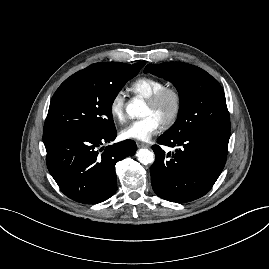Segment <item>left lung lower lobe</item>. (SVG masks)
<instances>
[{
    "mask_svg": "<svg viewBox=\"0 0 269 269\" xmlns=\"http://www.w3.org/2000/svg\"><path fill=\"white\" fill-rule=\"evenodd\" d=\"M229 137L230 131L205 129L175 137L160 136L158 144L176 150L166 154L159 145L152 146L156 156L150 169L154 192L175 203L205 195L224 168Z\"/></svg>",
    "mask_w": 269,
    "mask_h": 269,
    "instance_id": "left-lung-lower-lobe-1",
    "label": "left lung lower lobe"
}]
</instances>
